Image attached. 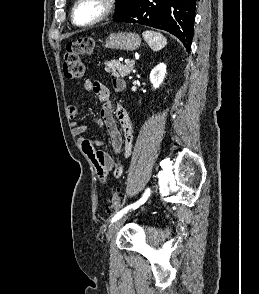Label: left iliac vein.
Instances as JSON below:
<instances>
[{
    "mask_svg": "<svg viewBox=\"0 0 259 294\" xmlns=\"http://www.w3.org/2000/svg\"><path fill=\"white\" fill-rule=\"evenodd\" d=\"M130 215H131V213L124 215L123 217H121L120 219H118L117 221H115L114 223L111 224V226L109 227V229L107 230V233H106L107 243L110 242V240L113 238V236L120 229V227L124 224V222L129 218Z\"/></svg>",
    "mask_w": 259,
    "mask_h": 294,
    "instance_id": "obj_1",
    "label": "left iliac vein"
}]
</instances>
